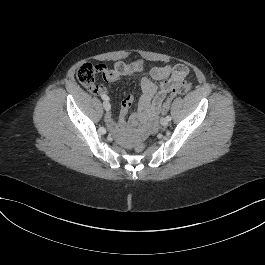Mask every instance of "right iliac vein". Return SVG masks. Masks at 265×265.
I'll return each instance as SVG.
<instances>
[{"instance_id":"obj_1","label":"right iliac vein","mask_w":265,"mask_h":265,"mask_svg":"<svg viewBox=\"0 0 265 265\" xmlns=\"http://www.w3.org/2000/svg\"><path fill=\"white\" fill-rule=\"evenodd\" d=\"M103 107L104 109L108 112L110 110V104L108 101L103 102Z\"/></svg>"}]
</instances>
